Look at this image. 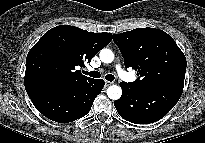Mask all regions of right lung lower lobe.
<instances>
[{"mask_svg": "<svg viewBox=\"0 0 205 143\" xmlns=\"http://www.w3.org/2000/svg\"><path fill=\"white\" fill-rule=\"evenodd\" d=\"M103 87L102 79L75 85L54 82L25 84L26 92L37 110L59 123L72 122L85 116Z\"/></svg>", "mask_w": 205, "mask_h": 143, "instance_id": "98d812e1", "label": "right lung lower lobe"}]
</instances>
